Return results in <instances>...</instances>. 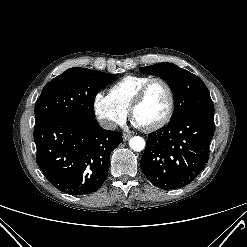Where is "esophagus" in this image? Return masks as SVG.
Listing matches in <instances>:
<instances>
[{
    "instance_id": "obj_1",
    "label": "esophagus",
    "mask_w": 247,
    "mask_h": 247,
    "mask_svg": "<svg viewBox=\"0 0 247 247\" xmlns=\"http://www.w3.org/2000/svg\"><path fill=\"white\" fill-rule=\"evenodd\" d=\"M131 136H132V135L129 134V133H124V134H123V140H124V141H127V140H129V139L131 138Z\"/></svg>"
}]
</instances>
